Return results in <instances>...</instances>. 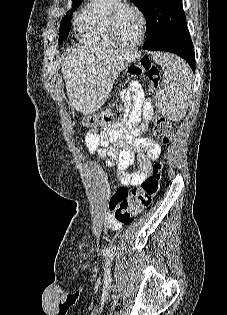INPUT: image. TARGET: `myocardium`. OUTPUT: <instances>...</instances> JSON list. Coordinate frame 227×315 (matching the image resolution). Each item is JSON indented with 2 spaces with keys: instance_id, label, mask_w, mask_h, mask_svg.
I'll use <instances>...</instances> for the list:
<instances>
[{
  "instance_id": "obj_1",
  "label": "myocardium",
  "mask_w": 227,
  "mask_h": 315,
  "mask_svg": "<svg viewBox=\"0 0 227 315\" xmlns=\"http://www.w3.org/2000/svg\"><path fill=\"white\" fill-rule=\"evenodd\" d=\"M123 8H131L132 10H134L138 14L140 21H141L139 38L135 43L130 44V45H125V44H122L119 41H117L116 36H115V32H114L115 21L119 15L120 11ZM146 29H147L146 15L142 11V9L139 6H137L136 4L128 2V1H124V0H119V2L117 4H115L112 7V9L110 10V13H109L108 19H107V34H108V37H109L111 43L114 46L124 48V49L137 48L144 41Z\"/></svg>"
}]
</instances>
